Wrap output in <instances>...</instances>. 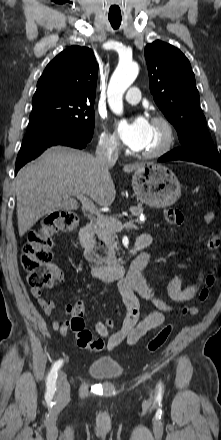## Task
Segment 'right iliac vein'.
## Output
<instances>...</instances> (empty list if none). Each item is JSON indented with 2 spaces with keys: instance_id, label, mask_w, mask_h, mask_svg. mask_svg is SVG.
<instances>
[{
  "instance_id": "obj_1",
  "label": "right iliac vein",
  "mask_w": 221,
  "mask_h": 440,
  "mask_svg": "<svg viewBox=\"0 0 221 440\" xmlns=\"http://www.w3.org/2000/svg\"><path fill=\"white\" fill-rule=\"evenodd\" d=\"M58 397L60 399H67L70 396V385L67 381L66 375L63 371L58 373L57 379Z\"/></svg>"
}]
</instances>
